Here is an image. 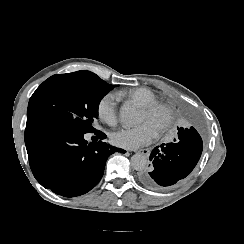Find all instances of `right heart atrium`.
<instances>
[{
    "instance_id": "right-heart-atrium-1",
    "label": "right heart atrium",
    "mask_w": 244,
    "mask_h": 244,
    "mask_svg": "<svg viewBox=\"0 0 244 244\" xmlns=\"http://www.w3.org/2000/svg\"><path fill=\"white\" fill-rule=\"evenodd\" d=\"M117 96L113 92L104 94L97 105L99 118L108 125L117 122Z\"/></svg>"
}]
</instances>
